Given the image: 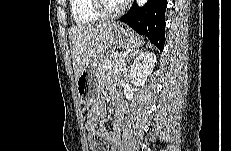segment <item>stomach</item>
Listing matches in <instances>:
<instances>
[{
	"label": "stomach",
	"mask_w": 231,
	"mask_h": 151,
	"mask_svg": "<svg viewBox=\"0 0 231 151\" xmlns=\"http://www.w3.org/2000/svg\"><path fill=\"white\" fill-rule=\"evenodd\" d=\"M142 44V41L128 28L118 26L114 30L112 46L113 48L135 49ZM113 50L109 49L105 53H100L91 58L87 66L81 72L77 82V93L81 103L90 107L94 105L100 96V68Z\"/></svg>",
	"instance_id": "obj_1"
}]
</instances>
